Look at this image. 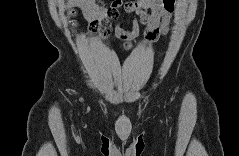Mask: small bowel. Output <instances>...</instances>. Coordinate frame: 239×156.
<instances>
[{
  "instance_id": "obj_1",
  "label": "small bowel",
  "mask_w": 239,
  "mask_h": 156,
  "mask_svg": "<svg viewBox=\"0 0 239 156\" xmlns=\"http://www.w3.org/2000/svg\"><path fill=\"white\" fill-rule=\"evenodd\" d=\"M71 3L84 11L89 26H95V31L90 34L98 31L100 37L106 39L113 31L114 35L124 42L125 49L132 47L131 41L140 35L142 27L147 44H152L159 37L166 35L176 5L175 0H134L129 2L113 0L107 8L93 0H72ZM121 11L134 15L130 30H126L122 26ZM112 21H117L114 27H112Z\"/></svg>"
}]
</instances>
